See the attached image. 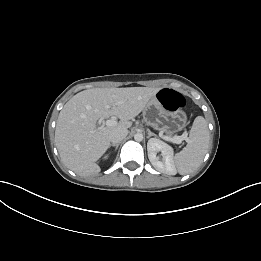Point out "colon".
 <instances>
[{"mask_svg": "<svg viewBox=\"0 0 261 261\" xmlns=\"http://www.w3.org/2000/svg\"><path fill=\"white\" fill-rule=\"evenodd\" d=\"M158 100L168 111H177L179 109H183L185 106V100L183 96L173 89H162L158 93Z\"/></svg>", "mask_w": 261, "mask_h": 261, "instance_id": "1", "label": "colon"}]
</instances>
